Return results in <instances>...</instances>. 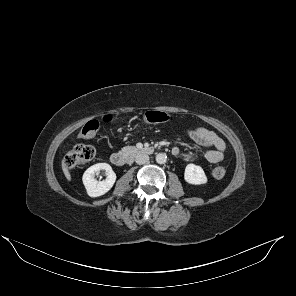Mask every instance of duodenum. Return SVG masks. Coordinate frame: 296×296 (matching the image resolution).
Masks as SVG:
<instances>
[{
  "label": "duodenum",
  "instance_id": "obj_1",
  "mask_svg": "<svg viewBox=\"0 0 296 296\" xmlns=\"http://www.w3.org/2000/svg\"><path fill=\"white\" fill-rule=\"evenodd\" d=\"M139 152L149 154L153 152V148L148 147V148H143ZM133 158L132 154H125L121 152H113L110 155V160L111 162L116 165V166H125L127 165Z\"/></svg>",
  "mask_w": 296,
  "mask_h": 296
}]
</instances>
